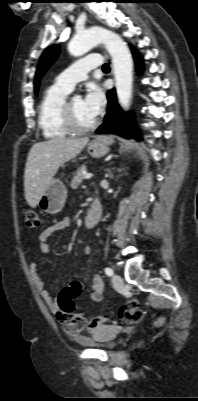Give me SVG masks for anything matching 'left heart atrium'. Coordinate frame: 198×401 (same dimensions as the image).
<instances>
[{
  "label": "left heart atrium",
  "instance_id": "1",
  "mask_svg": "<svg viewBox=\"0 0 198 401\" xmlns=\"http://www.w3.org/2000/svg\"><path fill=\"white\" fill-rule=\"evenodd\" d=\"M83 104L87 112L96 118L103 110L105 105V95L102 88L96 84L89 85Z\"/></svg>",
  "mask_w": 198,
  "mask_h": 401
}]
</instances>
